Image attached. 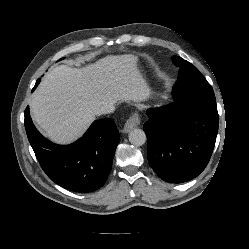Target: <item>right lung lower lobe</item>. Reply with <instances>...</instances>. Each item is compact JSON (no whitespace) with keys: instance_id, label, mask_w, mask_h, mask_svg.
I'll list each match as a JSON object with an SVG mask.
<instances>
[{"instance_id":"right-lung-lower-lobe-1","label":"right lung lower lobe","mask_w":249,"mask_h":249,"mask_svg":"<svg viewBox=\"0 0 249 249\" xmlns=\"http://www.w3.org/2000/svg\"><path fill=\"white\" fill-rule=\"evenodd\" d=\"M37 80L35 87L39 84ZM25 129L43 171L56 184L75 192H92L104 185L119 142L112 119L94 121L81 139L68 146L51 143L32 123L25 110Z\"/></svg>"}]
</instances>
